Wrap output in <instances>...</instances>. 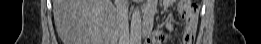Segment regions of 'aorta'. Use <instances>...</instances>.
Returning <instances> with one entry per match:
<instances>
[{"mask_svg": "<svg viewBox=\"0 0 261 44\" xmlns=\"http://www.w3.org/2000/svg\"><path fill=\"white\" fill-rule=\"evenodd\" d=\"M141 15L138 8L134 9L131 17L130 41L132 44H140L141 42Z\"/></svg>", "mask_w": 261, "mask_h": 44, "instance_id": "aorta-1", "label": "aorta"}]
</instances>
